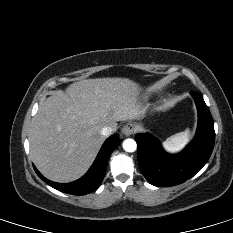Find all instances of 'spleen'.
<instances>
[{
    "label": "spleen",
    "mask_w": 233,
    "mask_h": 233,
    "mask_svg": "<svg viewBox=\"0 0 233 233\" xmlns=\"http://www.w3.org/2000/svg\"><path fill=\"white\" fill-rule=\"evenodd\" d=\"M190 130L186 129L183 132H179L171 137L167 138L163 142L162 146L167 152H177L184 148V146L189 142Z\"/></svg>",
    "instance_id": "obj_1"
}]
</instances>
